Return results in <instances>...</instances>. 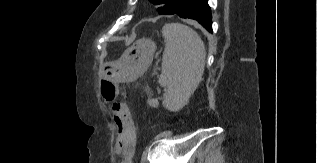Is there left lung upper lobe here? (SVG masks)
Wrapping results in <instances>:
<instances>
[{
  "instance_id": "5c2ea615",
  "label": "left lung upper lobe",
  "mask_w": 317,
  "mask_h": 163,
  "mask_svg": "<svg viewBox=\"0 0 317 163\" xmlns=\"http://www.w3.org/2000/svg\"><path fill=\"white\" fill-rule=\"evenodd\" d=\"M155 5L164 4L163 7L158 8L159 14H173L179 5L183 2V0H149Z\"/></svg>"
}]
</instances>
